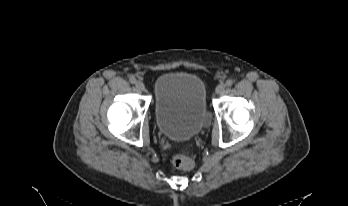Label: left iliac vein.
I'll return each instance as SVG.
<instances>
[{"mask_svg": "<svg viewBox=\"0 0 348 206\" xmlns=\"http://www.w3.org/2000/svg\"><path fill=\"white\" fill-rule=\"evenodd\" d=\"M224 91H225V84L221 83L216 87V93L218 95L224 93Z\"/></svg>", "mask_w": 348, "mask_h": 206, "instance_id": "left-iliac-vein-1", "label": "left iliac vein"}]
</instances>
